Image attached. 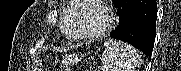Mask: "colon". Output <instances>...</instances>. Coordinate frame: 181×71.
I'll return each mask as SVG.
<instances>
[{"label":"colon","mask_w":181,"mask_h":71,"mask_svg":"<svg viewBox=\"0 0 181 71\" xmlns=\"http://www.w3.org/2000/svg\"><path fill=\"white\" fill-rule=\"evenodd\" d=\"M65 70H66V71H70V70H72V69H71V68H66Z\"/></svg>","instance_id":"5ec220e1"}]
</instances>
